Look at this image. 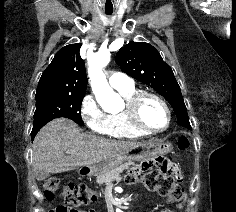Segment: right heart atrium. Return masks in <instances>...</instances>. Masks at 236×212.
<instances>
[{"instance_id":"obj_1","label":"right heart atrium","mask_w":236,"mask_h":212,"mask_svg":"<svg viewBox=\"0 0 236 212\" xmlns=\"http://www.w3.org/2000/svg\"><path fill=\"white\" fill-rule=\"evenodd\" d=\"M83 122L94 132L104 134L107 115L100 109L92 95H86L80 106Z\"/></svg>"}]
</instances>
